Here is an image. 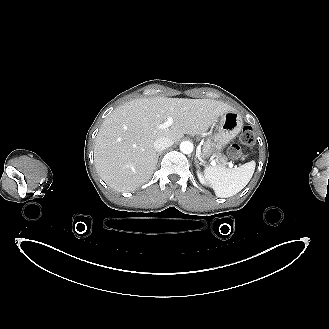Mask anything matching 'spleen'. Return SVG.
I'll use <instances>...</instances> for the list:
<instances>
[{
  "instance_id": "3e777b00",
  "label": "spleen",
  "mask_w": 329,
  "mask_h": 329,
  "mask_svg": "<svg viewBox=\"0 0 329 329\" xmlns=\"http://www.w3.org/2000/svg\"><path fill=\"white\" fill-rule=\"evenodd\" d=\"M255 166V161L233 169L224 166H207L204 175L217 197L228 198L236 195L249 183Z\"/></svg>"
}]
</instances>
